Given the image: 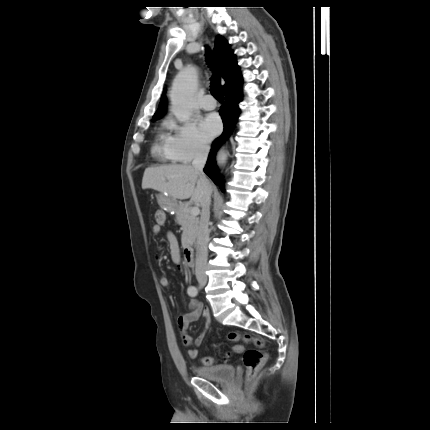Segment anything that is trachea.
<instances>
[{
	"label": "trachea",
	"mask_w": 430,
	"mask_h": 430,
	"mask_svg": "<svg viewBox=\"0 0 430 430\" xmlns=\"http://www.w3.org/2000/svg\"><path fill=\"white\" fill-rule=\"evenodd\" d=\"M210 91L211 94L218 100H223V93L221 88V81L218 76H214L211 78V85H210Z\"/></svg>",
	"instance_id": "3493384b"
}]
</instances>
